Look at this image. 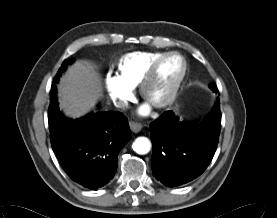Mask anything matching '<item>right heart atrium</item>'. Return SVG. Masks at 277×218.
<instances>
[{
    "instance_id": "right-heart-atrium-1",
    "label": "right heart atrium",
    "mask_w": 277,
    "mask_h": 218,
    "mask_svg": "<svg viewBox=\"0 0 277 218\" xmlns=\"http://www.w3.org/2000/svg\"><path fill=\"white\" fill-rule=\"evenodd\" d=\"M105 83L111 99L117 105L125 104L132 94L131 87L126 85L121 77L117 74L109 72L106 75Z\"/></svg>"
}]
</instances>
